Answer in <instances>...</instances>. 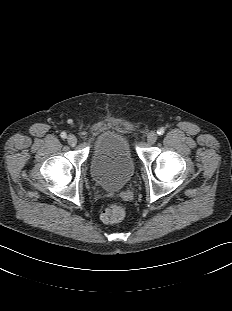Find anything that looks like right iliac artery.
Wrapping results in <instances>:
<instances>
[{
    "mask_svg": "<svg viewBox=\"0 0 232 311\" xmlns=\"http://www.w3.org/2000/svg\"><path fill=\"white\" fill-rule=\"evenodd\" d=\"M61 137H62L63 139H65V138L67 137V134H66L65 132H62V133H61Z\"/></svg>",
    "mask_w": 232,
    "mask_h": 311,
    "instance_id": "82829eb1",
    "label": "right iliac artery"
}]
</instances>
